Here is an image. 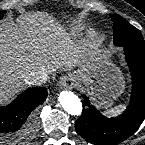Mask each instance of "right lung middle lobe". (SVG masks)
<instances>
[{"mask_svg":"<svg viewBox=\"0 0 145 145\" xmlns=\"http://www.w3.org/2000/svg\"><path fill=\"white\" fill-rule=\"evenodd\" d=\"M5 14H6V11H0V19H2Z\"/></svg>","mask_w":145,"mask_h":145,"instance_id":"1","label":"right lung middle lobe"}]
</instances>
